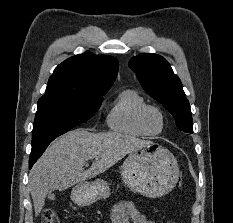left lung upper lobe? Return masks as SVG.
<instances>
[{"mask_svg":"<svg viewBox=\"0 0 233 223\" xmlns=\"http://www.w3.org/2000/svg\"><path fill=\"white\" fill-rule=\"evenodd\" d=\"M128 65L143 89L173 115L177 127L193 133L190 104L170 64L159 55L143 53L133 57Z\"/></svg>","mask_w":233,"mask_h":223,"instance_id":"left-lung-upper-lobe-1","label":"left lung upper lobe"}]
</instances>
